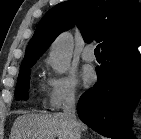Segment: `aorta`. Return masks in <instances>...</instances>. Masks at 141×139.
I'll return each mask as SVG.
<instances>
[{"mask_svg": "<svg viewBox=\"0 0 141 139\" xmlns=\"http://www.w3.org/2000/svg\"><path fill=\"white\" fill-rule=\"evenodd\" d=\"M73 40L69 33H63L51 45L49 59L52 67L60 74L68 69L72 57Z\"/></svg>", "mask_w": 141, "mask_h": 139, "instance_id": "1", "label": "aorta"}]
</instances>
